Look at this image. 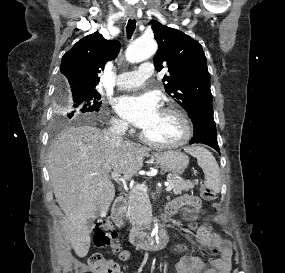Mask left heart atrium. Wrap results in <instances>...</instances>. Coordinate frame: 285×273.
Returning a JSON list of instances; mask_svg holds the SVG:
<instances>
[{
  "label": "left heart atrium",
  "mask_w": 285,
  "mask_h": 273,
  "mask_svg": "<svg viewBox=\"0 0 285 273\" xmlns=\"http://www.w3.org/2000/svg\"><path fill=\"white\" fill-rule=\"evenodd\" d=\"M117 113L134 126L145 129L160 113L157 98L152 94H132L119 97L115 102Z\"/></svg>",
  "instance_id": "obj_1"
}]
</instances>
